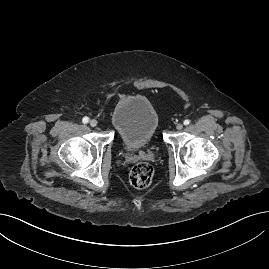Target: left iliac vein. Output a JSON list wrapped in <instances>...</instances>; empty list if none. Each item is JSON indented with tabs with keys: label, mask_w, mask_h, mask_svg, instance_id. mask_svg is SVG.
<instances>
[{
	"label": "left iliac vein",
	"mask_w": 269,
	"mask_h": 269,
	"mask_svg": "<svg viewBox=\"0 0 269 269\" xmlns=\"http://www.w3.org/2000/svg\"><path fill=\"white\" fill-rule=\"evenodd\" d=\"M182 128H183V124L179 123L176 125L177 130H182Z\"/></svg>",
	"instance_id": "4c4485c4"
}]
</instances>
